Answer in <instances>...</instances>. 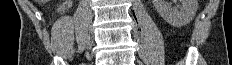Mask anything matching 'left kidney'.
Wrapping results in <instances>:
<instances>
[{
    "instance_id": "obj_1",
    "label": "left kidney",
    "mask_w": 232,
    "mask_h": 65,
    "mask_svg": "<svg viewBox=\"0 0 232 65\" xmlns=\"http://www.w3.org/2000/svg\"><path fill=\"white\" fill-rule=\"evenodd\" d=\"M181 7L172 8L165 0H153L157 12L163 19L174 27H182L190 23L196 15L197 0H180Z\"/></svg>"
}]
</instances>
